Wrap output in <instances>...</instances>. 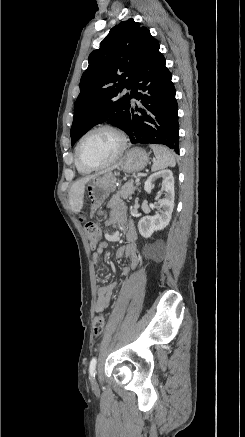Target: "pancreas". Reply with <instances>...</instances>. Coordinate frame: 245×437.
I'll list each match as a JSON object with an SVG mask.
<instances>
[{
	"instance_id": "cf45deb5",
	"label": "pancreas",
	"mask_w": 245,
	"mask_h": 437,
	"mask_svg": "<svg viewBox=\"0 0 245 437\" xmlns=\"http://www.w3.org/2000/svg\"><path fill=\"white\" fill-rule=\"evenodd\" d=\"M138 185H139V182H136L134 185L133 180H129L128 182H126L122 186V188L119 191H117L116 194H114L112 196V198L110 199V201L108 203V207L113 208L116 205H118L120 202H122V199H127L128 197H130L132 194H134Z\"/></svg>"
}]
</instances>
